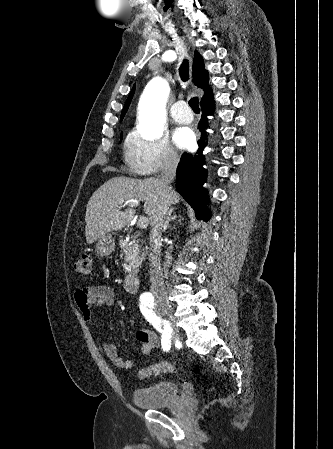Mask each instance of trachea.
<instances>
[{
	"label": "trachea",
	"mask_w": 333,
	"mask_h": 449,
	"mask_svg": "<svg viewBox=\"0 0 333 449\" xmlns=\"http://www.w3.org/2000/svg\"><path fill=\"white\" fill-rule=\"evenodd\" d=\"M179 72H180V77H181L182 81H187L189 78V65H188L187 59L183 60L181 66L179 68ZM189 105L194 112L200 111L198 97L191 98L189 100Z\"/></svg>",
	"instance_id": "obj_1"
}]
</instances>
